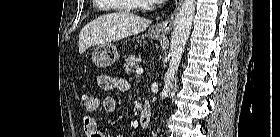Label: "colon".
<instances>
[{
  "instance_id": "obj_1",
  "label": "colon",
  "mask_w": 280,
  "mask_h": 137,
  "mask_svg": "<svg viewBox=\"0 0 280 137\" xmlns=\"http://www.w3.org/2000/svg\"><path fill=\"white\" fill-rule=\"evenodd\" d=\"M81 103L88 111H95L98 106V100L96 96L90 94H83L81 96Z\"/></svg>"
}]
</instances>
